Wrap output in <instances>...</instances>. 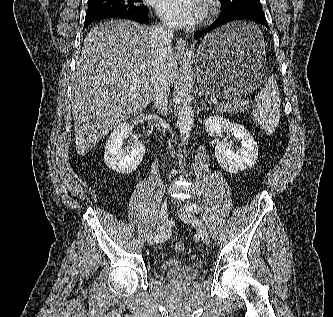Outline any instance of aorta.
Returning a JSON list of instances; mask_svg holds the SVG:
<instances>
[{
    "instance_id": "aorta-1",
    "label": "aorta",
    "mask_w": 333,
    "mask_h": 317,
    "mask_svg": "<svg viewBox=\"0 0 333 317\" xmlns=\"http://www.w3.org/2000/svg\"><path fill=\"white\" fill-rule=\"evenodd\" d=\"M177 126L183 142H188L193 126V107L189 100H186L178 112Z\"/></svg>"
}]
</instances>
